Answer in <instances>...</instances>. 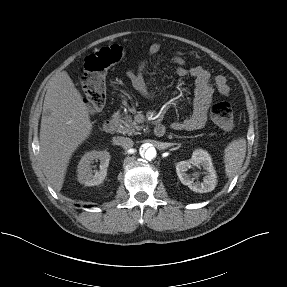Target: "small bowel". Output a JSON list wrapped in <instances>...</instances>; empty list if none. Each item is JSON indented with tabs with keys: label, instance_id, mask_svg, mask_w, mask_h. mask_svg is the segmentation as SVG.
I'll use <instances>...</instances> for the list:
<instances>
[{
	"label": "small bowel",
	"instance_id": "c3829d8e",
	"mask_svg": "<svg viewBox=\"0 0 287 287\" xmlns=\"http://www.w3.org/2000/svg\"><path fill=\"white\" fill-rule=\"evenodd\" d=\"M162 50L159 43L150 45L147 57L157 55ZM172 62L176 66V73L180 77H192L195 82V94L192 113L183 120L172 122L171 127L177 131H193L206 125L209 107L214 90L228 96L230 87L225 76L218 75L212 81L210 72L200 65L187 66L186 61L179 55H173ZM147 59L143 60L136 70H129L127 77L134 89L144 98H153L155 93L151 90L149 82L145 77Z\"/></svg>",
	"mask_w": 287,
	"mask_h": 287
}]
</instances>
